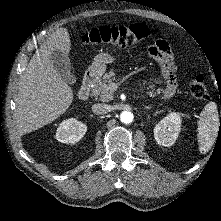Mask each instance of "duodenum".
<instances>
[{"label": "duodenum", "mask_w": 221, "mask_h": 221, "mask_svg": "<svg viewBox=\"0 0 221 221\" xmlns=\"http://www.w3.org/2000/svg\"><path fill=\"white\" fill-rule=\"evenodd\" d=\"M97 80V74L94 71H89L82 82L81 88L78 92V98L82 101H85L89 98L90 92H91V88L93 86V84L96 82Z\"/></svg>", "instance_id": "410a0bca"}]
</instances>
